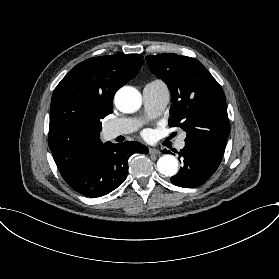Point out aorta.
Wrapping results in <instances>:
<instances>
[{
  "label": "aorta",
  "instance_id": "1",
  "mask_svg": "<svg viewBox=\"0 0 279 279\" xmlns=\"http://www.w3.org/2000/svg\"><path fill=\"white\" fill-rule=\"evenodd\" d=\"M114 102L121 112L133 113L141 106V94L133 87H122L117 91ZM157 169L164 176H174L178 172V160L171 154H165L158 159Z\"/></svg>",
  "mask_w": 279,
  "mask_h": 279
}]
</instances>
